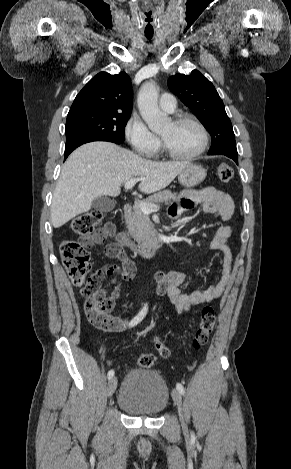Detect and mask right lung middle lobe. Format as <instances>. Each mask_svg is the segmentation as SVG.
<instances>
[{
	"mask_svg": "<svg viewBox=\"0 0 291 469\" xmlns=\"http://www.w3.org/2000/svg\"><path fill=\"white\" fill-rule=\"evenodd\" d=\"M130 113L108 111H79L68 113L65 125L66 140L103 137L124 141V127Z\"/></svg>",
	"mask_w": 291,
	"mask_h": 469,
	"instance_id": "right-lung-middle-lobe-1",
	"label": "right lung middle lobe"
}]
</instances>
